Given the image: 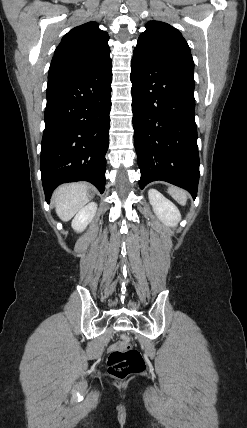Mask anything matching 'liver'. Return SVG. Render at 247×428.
<instances>
[{
    "label": "liver",
    "mask_w": 247,
    "mask_h": 428,
    "mask_svg": "<svg viewBox=\"0 0 247 428\" xmlns=\"http://www.w3.org/2000/svg\"><path fill=\"white\" fill-rule=\"evenodd\" d=\"M89 185L83 182L66 184L58 187L53 195L58 217L69 221L90 200Z\"/></svg>",
    "instance_id": "obj_1"
}]
</instances>
